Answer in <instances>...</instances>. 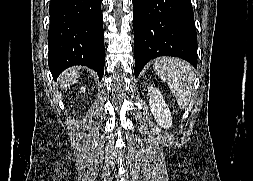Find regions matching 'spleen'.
<instances>
[{
  "label": "spleen",
  "mask_w": 253,
  "mask_h": 181,
  "mask_svg": "<svg viewBox=\"0 0 253 181\" xmlns=\"http://www.w3.org/2000/svg\"><path fill=\"white\" fill-rule=\"evenodd\" d=\"M155 73L165 81L175 95L178 105L184 108L191 96L194 74L186 61L174 58H159L154 62Z\"/></svg>",
  "instance_id": "3e777b00"
}]
</instances>
